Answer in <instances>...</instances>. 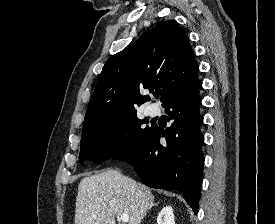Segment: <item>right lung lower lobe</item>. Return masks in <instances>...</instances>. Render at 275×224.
Wrapping results in <instances>:
<instances>
[{"mask_svg": "<svg viewBox=\"0 0 275 224\" xmlns=\"http://www.w3.org/2000/svg\"><path fill=\"white\" fill-rule=\"evenodd\" d=\"M202 82L197 78L162 104L172 124L166 130L151 129L114 159L131 164L142 182L152 188L177 190L195 213L201 198L204 136L199 113ZM164 137L166 142L160 143Z\"/></svg>", "mask_w": 275, "mask_h": 224, "instance_id": "1", "label": "right lung lower lobe"}]
</instances>
